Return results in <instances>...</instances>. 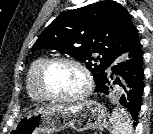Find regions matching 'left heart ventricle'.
Returning <instances> with one entry per match:
<instances>
[{"instance_id":"obj_1","label":"left heart ventricle","mask_w":153,"mask_h":134,"mask_svg":"<svg viewBox=\"0 0 153 134\" xmlns=\"http://www.w3.org/2000/svg\"><path fill=\"white\" fill-rule=\"evenodd\" d=\"M46 89L57 96L70 97L79 94L85 86L82 72L73 65H52L45 76Z\"/></svg>"}]
</instances>
